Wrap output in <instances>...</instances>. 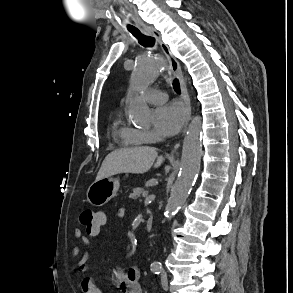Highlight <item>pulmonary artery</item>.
<instances>
[{
	"label": "pulmonary artery",
	"instance_id": "obj_1",
	"mask_svg": "<svg viewBox=\"0 0 293 293\" xmlns=\"http://www.w3.org/2000/svg\"><path fill=\"white\" fill-rule=\"evenodd\" d=\"M144 99L152 104H161L167 100V94L157 89H147L143 94Z\"/></svg>",
	"mask_w": 293,
	"mask_h": 293
}]
</instances>
